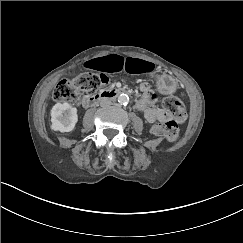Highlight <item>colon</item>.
<instances>
[{
	"instance_id": "1",
	"label": "colon",
	"mask_w": 243,
	"mask_h": 243,
	"mask_svg": "<svg viewBox=\"0 0 243 243\" xmlns=\"http://www.w3.org/2000/svg\"><path fill=\"white\" fill-rule=\"evenodd\" d=\"M108 83L106 75L82 73L72 80L60 81L53 91V98L58 102H77L82 93L96 92ZM162 104L171 119L154 125L153 133L168 141H175L178 136V123H182L186 118L184 104L174 96L165 97Z\"/></svg>"
}]
</instances>
